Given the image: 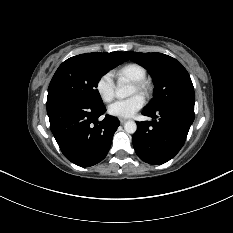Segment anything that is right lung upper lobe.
Returning a JSON list of instances; mask_svg holds the SVG:
<instances>
[{"label": "right lung upper lobe", "mask_w": 233, "mask_h": 233, "mask_svg": "<svg viewBox=\"0 0 233 233\" xmlns=\"http://www.w3.org/2000/svg\"><path fill=\"white\" fill-rule=\"evenodd\" d=\"M102 56H109V57H117V58H121L124 59L125 61L127 60V57L125 56V54L123 52L117 51V52H111V53H96Z\"/></svg>", "instance_id": "obj_1"}]
</instances>
